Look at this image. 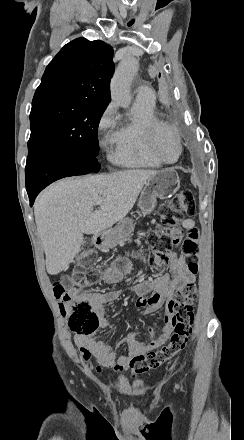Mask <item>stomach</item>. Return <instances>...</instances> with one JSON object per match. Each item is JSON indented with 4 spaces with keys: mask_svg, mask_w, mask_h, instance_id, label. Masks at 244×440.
<instances>
[{
    "mask_svg": "<svg viewBox=\"0 0 244 440\" xmlns=\"http://www.w3.org/2000/svg\"><path fill=\"white\" fill-rule=\"evenodd\" d=\"M179 188L180 178L176 170H173V168L158 170L157 174H154L152 178L147 180L140 194L138 208H140L142 214H151L157 204V198H160V200L172 198L173 194H176ZM133 230L134 226H132L130 220H123L114 230L102 232L100 236L101 242L98 248H110V246L115 244V240H118V236L130 234ZM96 240L97 238H95V242Z\"/></svg>",
    "mask_w": 244,
    "mask_h": 440,
    "instance_id": "obj_1",
    "label": "stomach"
}]
</instances>
